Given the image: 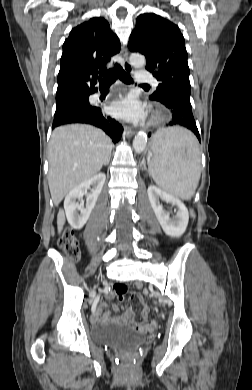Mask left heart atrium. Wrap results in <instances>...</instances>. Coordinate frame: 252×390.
<instances>
[{"label":"left heart atrium","instance_id":"1","mask_svg":"<svg viewBox=\"0 0 252 390\" xmlns=\"http://www.w3.org/2000/svg\"><path fill=\"white\" fill-rule=\"evenodd\" d=\"M110 110L114 116L131 122H140L146 117L144 104L133 94L113 102Z\"/></svg>","mask_w":252,"mask_h":390}]
</instances>
